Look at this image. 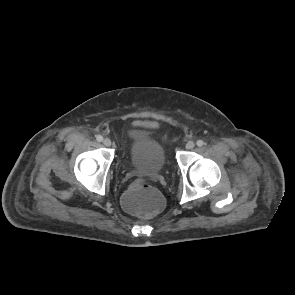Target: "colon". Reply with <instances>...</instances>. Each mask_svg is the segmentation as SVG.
Returning a JSON list of instances; mask_svg holds the SVG:
<instances>
[{
  "label": "colon",
  "mask_w": 295,
  "mask_h": 295,
  "mask_svg": "<svg viewBox=\"0 0 295 295\" xmlns=\"http://www.w3.org/2000/svg\"><path fill=\"white\" fill-rule=\"evenodd\" d=\"M121 204L136 217H150L162 208L163 198L147 177L136 176L122 193Z\"/></svg>",
  "instance_id": "colon-1"
}]
</instances>
